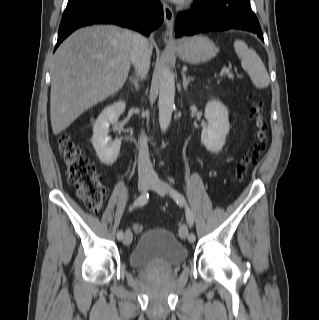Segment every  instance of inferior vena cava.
Segmentation results:
<instances>
[{"instance_id":"obj_1","label":"inferior vena cava","mask_w":319,"mask_h":320,"mask_svg":"<svg viewBox=\"0 0 319 320\" xmlns=\"http://www.w3.org/2000/svg\"><path fill=\"white\" fill-rule=\"evenodd\" d=\"M133 41L132 63L137 74L144 78L150 67L149 43L145 37L138 33L133 34ZM138 174L139 176H151L154 174L149 158L147 139L144 134L140 136L139 140Z\"/></svg>"}]
</instances>
